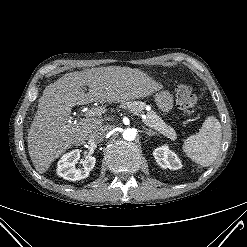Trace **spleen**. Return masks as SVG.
<instances>
[{
	"instance_id": "obj_1",
	"label": "spleen",
	"mask_w": 247,
	"mask_h": 247,
	"mask_svg": "<svg viewBox=\"0 0 247 247\" xmlns=\"http://www.w3.org/2000/svg\"><path fill=\"white\" fill-rule=\"evenodd\" d=\"M222 139L221 124L214 116L204 121L199 132L183 143L186 156L202 167L210 166L217 157Z\"/></svg>"
}]
</instances>
